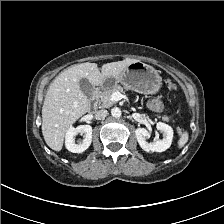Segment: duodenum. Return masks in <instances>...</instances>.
I'll return each mask as SVG.
<instances>
[{
	"mask_svg": "<svg viewBox=\"0 0 224 224\" xmlns=\"http://www.w3.org/2000/svg\"><path fill=\"white\" fill-rule=\"evenodd\" d=\"M98 91H99V88L96 87L94 89L92 95H91V99H90V107H91V110H95L96 109Z\"/></svg>",
	"mask_w": 224,
	"mask_h": 224,
	"instance_id": "obj_1",
	"label": "duodenum"
}]
</instances>
